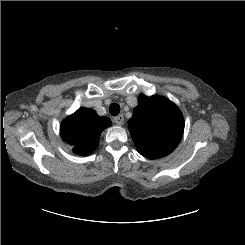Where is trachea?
I'll list each match as a JSON object with an SVG mask.
<instances>
[{"label":"trachea","instance_id":"3493384b","mask_svg":"<svg viewBox=\"0 0 245 245\" xmlns=\"http://www.w3.org/2000/svg\"><path fill=\"white\" fill-rule=\"evenodd\" d=\"M109 112L112 116H117L120 113V106L117 103H112L109 106Z\"/></svg>","mask_w":245,"mask_h":245}]
</instances>
